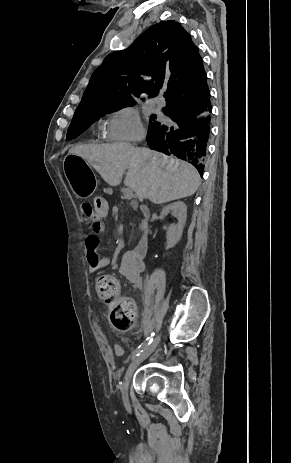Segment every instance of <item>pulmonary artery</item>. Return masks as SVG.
Returning a JSON list of instances; mask_svg holds the SVG:
<instances>
[{"instance_id":"1","label":"pulmonary artery","mask_w":291,"mask_h":463,"mask_svg":"<svg viewBox=\"0 0 291 463\" xmlns=\"http://www.w3.org/2000/svg\"><path fill=\"white\" fill-rule=\"evenodd\" d=\"M160 107H161L160 104L155 105V108H156V109H160Z\"/></svg>"}]
</instances>
